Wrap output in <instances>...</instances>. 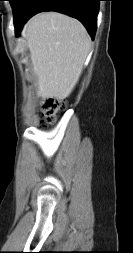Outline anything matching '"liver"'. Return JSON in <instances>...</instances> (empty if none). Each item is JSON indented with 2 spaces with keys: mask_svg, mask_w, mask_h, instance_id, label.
<instances>
[{
  "mask_svg": "<svg viewBox=\"0 0 133 253\" xmlns=\"http://www.w3.org/2000/svg\"><path fill=\"white\" fill-rule=\"evenodd\" d=\"M37 76V94L64 99L77 84L91 46L84 26L66 15L47 12L32 17L22 31Z\"/></svg>",
  "mask_w": 133,
  "mask_h": 253,
  "instance_id": "liver-1",
  "label": "liver"
}]
</instances>
